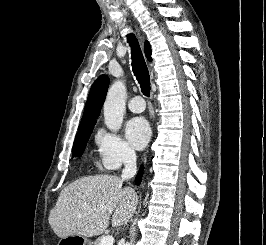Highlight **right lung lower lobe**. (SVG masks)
<instances>
[{
	"mask_svg": "<svg viewBox=\"0 0 266 245\" xmlns=\"http://www.w3.org/2000/svg\"><path fill=\"white\" fill-rule=\"evenodd\" d=\"M142 170H143V167H141L140 168V170H139V173H138V175H137V177H136V180H135V183L138 185L139 183H140V181H141V177H142Z\"/></svg>",
	"mask_w": 266,
	"mask_h": 245,
	"instance_id": "obj_1",
	"label": "right lung lower lobe"
}]
</instances>
